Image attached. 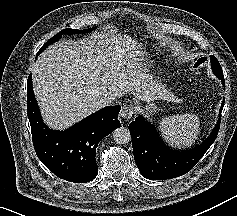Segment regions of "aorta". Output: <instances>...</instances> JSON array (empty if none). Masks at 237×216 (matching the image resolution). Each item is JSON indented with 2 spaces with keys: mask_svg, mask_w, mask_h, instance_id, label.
<instances>
[{
  "mask_svg": "<svg viewBox=\"0 0 237 216\" xmlns=\"http://www.w3.org/2000/svg\"><path fill=\"white\" fill-rule=\"evenodd\" d=\"M112 136L117 144H128L132 140L129 129L124 126L115 129Z\"/></svg>",
  "mask_w": 237,
  "mask_h": 216,
  "instance_id": "obj_1",
  "label": "aorta"
}]
</instances>
